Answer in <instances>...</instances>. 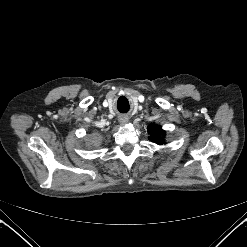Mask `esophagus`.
Here are the masks:
<instances>
[{"label": "esophagus", "mask_w": 247, "mask_h": 247, "mask_svg": "<svg viewBox=\"0 0 247 247\" xmlns=\"http://www.w3.org/2000/svg\"><path fill=\"white\" fill-rule=\"evenodd\" d=\"M129 118L125 115L120 116L119 123L120 124H126L128 122Z\"/></svg>", "instance_id": "obj_1"}]
</instances>
